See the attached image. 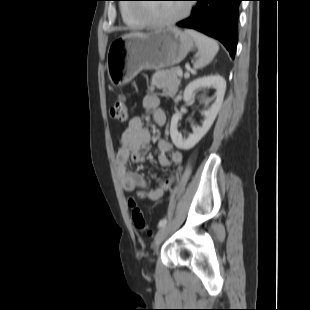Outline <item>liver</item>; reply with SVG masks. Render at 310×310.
Returning <instances> with one entry per match:
<instances>
[{
    "label": "liver",
    "mask_w": 310,
    "mask_h": 310,
    "mask_svg": "<svg viewBox=\"0 0 310 310\" xmlns=\"http://www.w3.org/2000/svg\"><path fill=\"white\" fill-rule=\"evenodd\" d=\"M139 35H143V34L142 33H138V32H134V33L125 34L124 37L139 36Z\"/></svg>",
    "instance_id": "obj_1"
}]
</instances>
